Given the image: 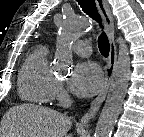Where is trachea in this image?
<instances>
[{
	"label": "trachea",
	"instance_id": "3493384b",
	"mask_svg": "<svg viewBox=\"0 0 144 137\" xmlns=\"http://www.w3.org/2000/svg\"><path fill=\"white\" fill-rule=\"evenodd\" d=\"M83 11L88 14L91 18L96 20L102 27L101 17L98 14L96 4L94 0H77ZM98 47L101 54L105 57L109 55L110 44L106 34L103 32L98 38Z\"/></svg>",
	"mask_w": 144,
	"mask_h": 137
}]
</instances>
